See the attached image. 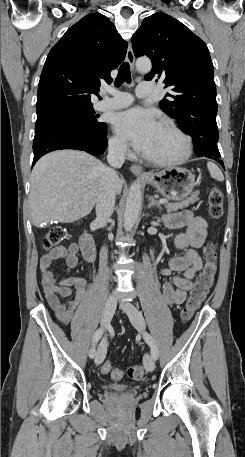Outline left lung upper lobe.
Wrapping results in <instances>:
<instances>
[{
	"label": "left lung upper lobe",
	"mask_w": 245,
	"mask_h": 457,
	"mask_svg": "<svg viewBox=\"0 0 245 457\" xmlns=\"http://www.w3.org/2000/svg\"><path fill=\"white\" fill-rule=\"evenodd\" d=\"M131 41L136 57L146 55L152 60L145 79L158 77L171 89L159 106L180 122L179 127L203 113L216 116L214 68L202 39L183 23L158 12L143 20Z\"/></svg>",
	"instance_id": "1"
}]
</instances>
